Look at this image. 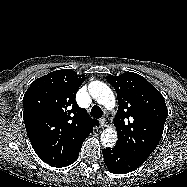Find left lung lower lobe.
<instances>
[{"label": "left lung lower lobe", "instance_id": "left-lung-lower-lobe-1", "mask_svg": "<svg viewBox=\"0 0 187 187\" xmlns=\"http://www.w3.org/2000/svg\"><path fill=\"white\" fill-rule=\"evenodd\" d=\"M102 153L108 170L114 174L132 172L146 161L125 152L117 146L103 149Z\"/></svg>", "mask_w": 187, "mask_h": 187}]
</instances>
